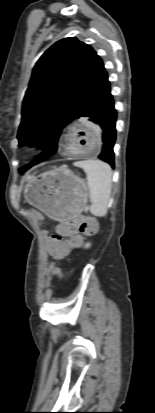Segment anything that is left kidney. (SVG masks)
Returning <instances> with one entry per match:
<instances>
[{
	"label": "left kidney",
	"mask_w": 155,
	"mask_h": 413,
	"mask_svg": "<svg viewBox=\"0 0 155 413\" xmlns=\"http://www.w3.org/2000/svg\"><path fill=\"white\" fill-rule=\"evenodd\" d=\"M86 247H89V244H86Z\"/></svg>",
	"instance_id": "left-kidney-1"
}]
</instances>
